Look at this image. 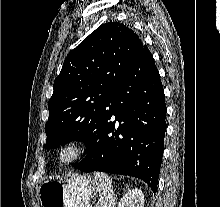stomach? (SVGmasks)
<instances>
[{"mask_svg":"<svg viewBox=\"0 0 220 207\" xmlns=\"http://www.w3.org/2000/svg\"><path fill=\"white\" fill-rule=\"evenodd\" d=\"M98 192L90 175L72 174L59 180H46L39 187L41 207H86Z\"/></svg>","mask_w":220,"mask_h":207,"instance_id":"obj_1","label":"stomach"}]
</instances>
